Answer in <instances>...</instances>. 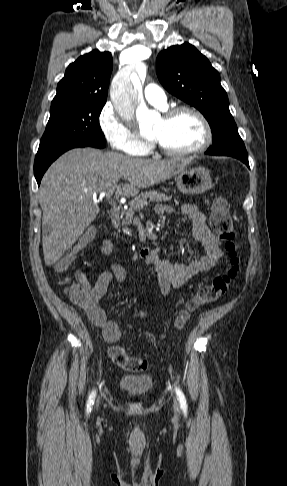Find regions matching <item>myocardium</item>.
I'll return each mask as SVG.
<instances>
[{"label": "myocardium", "mask_w": 287, "mask_h": 486, "mask_svg": "<svg viewBox=\"0 0 287 486\" xmlns=\"http://www.w3.org/2000/svg\"><path fill=\"white\" fill-rule=\"evenodd\" d=\"M183 113L193 114L199 120V122L201 123L202 128H203V140L198 146H196L194 148H191V149H188V150H180V151L168 149L165 146H163L161 143H159L158 141L150 140L151 145L154 148H156L159 152H161L162 154H164L166 156H169V157L192 156V155H195V154H198V153L205 151L206 149L209 148V146L212 143L213 134H212V129H211L210 123L207 120V118L205 117V115L199 109H197L193 106H189V105L178 106V107H174V108H171L168 111H166L162 118L165 121H169V120H171V119L175 118L176 116L183 114Z\"/></svg>", "instance_id": "obj_1"}]
</instances>
